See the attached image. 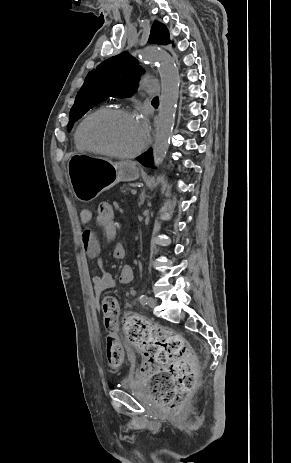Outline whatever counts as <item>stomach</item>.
Instances as JSON below:
<instances>
[{"mask_svg": "<svg viewBox=\"0 0 291 463\" xmlns=\"http://www.w3.org/2000/svg\"><path fill=\"white\" fill-rule=\"evenodd\" d=\"M67 173L75 197L82 202L94 200L119 180L134 181L139 178V169L131 162H113L88 153L71 154Z\"/></svg>", "mask_w": 291, "mask_h": 463, "instance_id": "1", "label": "stomach"}]
</instances>
